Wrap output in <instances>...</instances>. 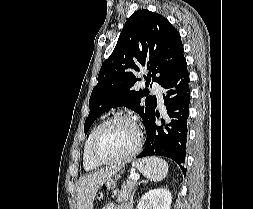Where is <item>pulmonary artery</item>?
Masks as SVG:
<instances>
[{
	"label": "pulmonary artery",
	"instance_id": "1",
	"mask_svg": "<svg viewBox=\"0 0 253 209\" xmlns=\"http://www.w3.org/2000/svg\"><path fill=\"white\" fill-rule=\"evenodd\" d=\"M152 90L153 93L157 95L160 106L162 107V87L159 84L154 83L152 85Z\"/></svg>",
	"mask_w": 253,
	"mask_h": 209
}]
</instances>
